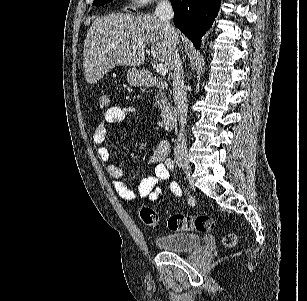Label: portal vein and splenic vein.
I'll return each mask as SVG.
<instances>
[{"label": "portal vein and splenic vein", "mask_w": 307, "mask_h": 301, "mask_svg": "<svg viewBox=\"0 0 307 301\" xmlns=\"http://www.w3.org/2000/svg\"><path fill=\"white\" fill-rule=\"evenodd\" d=\"M156 70L158 74H167L168 66H166V64H163V62H159V64H156Z\"/></svg>", "instance_id": "portal-vein-and-splenic-vein-1"}]
</instances>
